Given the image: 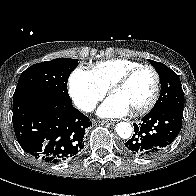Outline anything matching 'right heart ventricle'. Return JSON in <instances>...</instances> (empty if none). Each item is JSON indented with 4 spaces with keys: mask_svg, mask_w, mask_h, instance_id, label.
Returning a JSON list of instances; mask_svg holds the SVG:
<instances>
[{
    "mask_svg": "<svg viewBox=\"0 0 196 196\" xmlns=\"http://www.w3.org/2000/svg\"><path fill=\"white\" fill-rule=\"evenodd\" d=\"M139 65L141 64L137 61L116 58L96 63L91 72L96 80L107 90L120 76Z\"/></svg>",
    "mask_w": 196,
    "mask_h": 196,
    "instance_id": "1",
    "label": "right heart ventricle"
}]
</instances>
